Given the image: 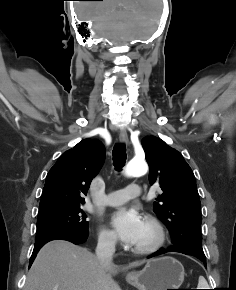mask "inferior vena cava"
I'll return each instance as SVG.
<instances>
[{"instance_id": "1", "label": "inferior vena cava", "mask_w": 236, "mask_h": 290, "mask_svg": "<svg viewBox=\"0 0 236 290\" xmlns=\"http://www.w3.org/2000/svg\"><path fill=\"white\" fill-rule=\"evenodd\" d=\"M116 238L113 236L101 237L98 240L96 247V256L102 264H109L112 262L113 254L115 252Z\"/></svg>"}]
</instances>
